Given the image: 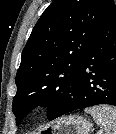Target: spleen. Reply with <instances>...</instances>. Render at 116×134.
<instances>
[{"mask_svg": "<svg viewBox=\"0 0 116 134\" xmlns=\"http://www.w3.org/2000/svg\"><path fill=\"white\" fill-rule=\"evenodd\" d=\"M94 121L103 128L105 134H116V108L100 105L85 109Z\"/></svg>", "mask_w": 116, "mask_h": 134, "instance_id": "1", "label": "spleen"}]
</instances>
